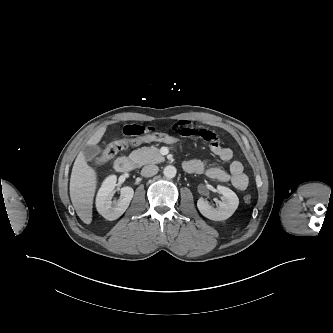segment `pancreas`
Listing matches in <instances>:
<instances>
[{
  "label": "pancreas",
  "instance_id": "cf45deb5",
  "mask_svg": "<svg viewBox=\"0 0 333 333\" xmlns=\"http://www.w3.org/2000/svg\"><path fill=\"white\" fill-rule=\"evenodd\" d=\"M129 158L138 166L165 161L164 156L161 155L159 149L155 146L138 148L129 155Z\"/></svg>",
  "mask_w": 333,
  "mask_h": 333
}]
</instances>
